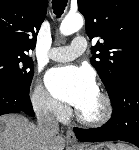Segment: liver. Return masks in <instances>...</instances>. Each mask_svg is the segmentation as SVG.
Returning a JSON list of instances; mask_svg holds the SVG:
<instances>
[{
  "label": "liver",
  "instance_id": "6515ba94",
  "mask_svg": "<svg viewBox=\"0 0 139 150\" xmlns=\"http://www.w3.org/2000/svg\"><path fill=\"white\" fill-rule=\"evenodd\" d=\"M61 136L44 139L38 127L21 115L0 116V150H64Z\"/></svg>",
  "mask_w": 139,
  "mask_h": 150
}]
</instances>
